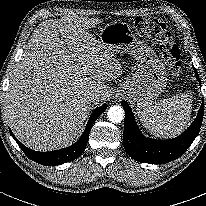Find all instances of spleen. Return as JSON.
I'll return each mask as SVG.
<instances>
[{
  "mask_svg": "<svg viewBox=\"0 0 206 206\" xmlns=\"http://www.w3.org/2000/svg\"><path fill=\"white\" fill-rule=\"evenodd\" d=\"M192 111V97L187 93L152 101L138 110L142 125L158 137H172L188 125Z\"/></svg>",
  "mask_w": 206,
  "mask_h": 206,
  "instance_id": "spleen-1",
  "label": "spleen"
}]
</instances>
